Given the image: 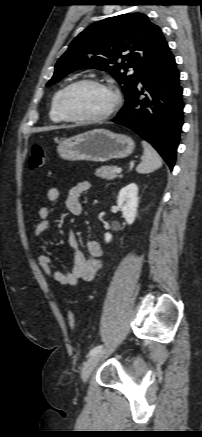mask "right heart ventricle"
<instances>
[{
  "label": "right heart ventricle",
  "mask_w": 202,
  "mask_h": 437,
  "mask_svg": "<svg viewBox=\"0 0 202 437\" xmlns=\"http://www.w3.org/2000/svg\"><path fill=\"white\" fill-rule=\"evenodd\" d=\"M66 87H62L60 89H58L54 95L52 96L51 99V104H50V110H49V117L50 119L55 122V123H63L66 122L67 120L62 116L60 110H59V98L61 93L63 92V90Z\"/></svg>",
  "instance_id": "1"
}]
</instances>
